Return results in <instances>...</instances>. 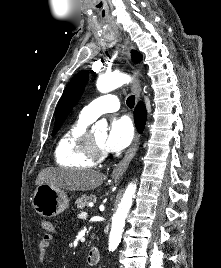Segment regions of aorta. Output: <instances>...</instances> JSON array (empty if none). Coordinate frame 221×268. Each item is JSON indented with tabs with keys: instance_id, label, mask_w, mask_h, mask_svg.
Returning <instances> with one entry per match:
<instances>
[{
	"instance_id": "obj_1",
	"label": "aorta",
	"mask_w": 221,
	"mask_h": 268,
	"mask_svg": "<svg viewBox=\"0 0 221 268\" xmlns=\"http://www.w3.org/2000/svg\"><path fill=\"white\" fill-rule=\"evenodd\" d=\"M131 77L124 73H112L99 76L96 87L101 93H108L114 89L129 83ZM137 185L130 183L126 188L124 195L118 205L117 211L113 216L112 227L109 236V250L114 251L121 240L125 219L132 206V200L135 197Z\"/></svg>"
}]
</instances>
